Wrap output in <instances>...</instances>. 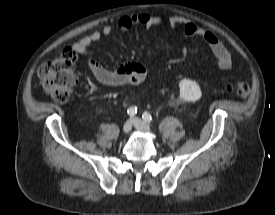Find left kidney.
Wrapping results in <instances>:
<instances>
[{"label": "left kidney", "instance_id": "5707ae66", "mask_svg": "<svg viewBox=\"0 0 275 215\" xmlns=\"http://www.w3.org/2000/svg\"><path fill=\"white\" fill-rule=\"evenodd\" d=\"M180 97L185 101L195 102L202 96L201 89L196 81L182 79L179 82Z\"/></svg>", "mask_w": 275, "mask_h": 215}]
</instances>
